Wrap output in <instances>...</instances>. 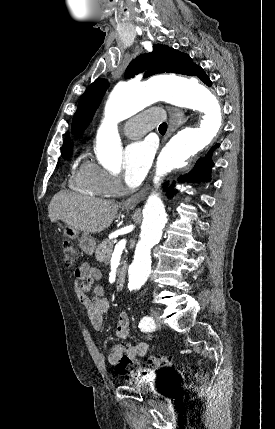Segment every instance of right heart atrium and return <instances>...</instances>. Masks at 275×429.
Returning <instances> with one entry per match:
<instances>
[{"instance_id":"1","label":"right heart atrium","mask_w":275,"mask_h":429,"mask_svg":"<svg viewBox=\"0 0 275 429\" xmlns=\"http://www.w3.org/2000/svg\"><path fill=\"white\" fill-rule=\"evenodd\" d=\"M102 182L109 194H116L122 188L118 177L104 170H102Z\"/></svg>"}]
</instances>
